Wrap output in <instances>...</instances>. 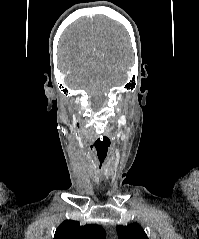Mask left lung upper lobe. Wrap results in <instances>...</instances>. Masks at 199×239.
Segmentation results:
<instances>
[{"label":"left lung upper lobe","mask_w":199,"mask_h":239,"mask_svg":"<svg viewBox=\"0 0 199 239\" xmlns=\"http://www.w3.org/2000/svg\"><path fill=\"white\" fill-rule=\"evenodd\" d=\"M116 229L120 239H148L146 233L138 224L118 225Z\"/></svg>","instance_id":"1"}]
</instances>
